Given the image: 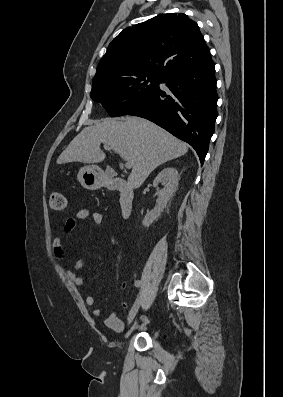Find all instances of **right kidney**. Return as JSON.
<instances>
[{
	"instance_id": "right-kidney-1",
	"label": "right kidney",
	"mask_w": 283,
	"mask_h": 397,
	"mask_svg": "<svg viewBox=\"0 0 283 397\" xmlns=\"http://www.w3.org/2000/svg\"><path fill=\"white\" fill-rule=\"evenodd\" d=\"M179 179L180 175L178 171L172 167H166L158 173L153 181V185L157 187L158 184L161 183L164 187L161 190L157 188L158 198L156 200V205L143 219V225L145 227H149L159 218L168 201L177 190Z\"/></svg>"
}]
</instances>
